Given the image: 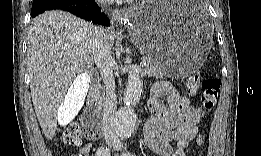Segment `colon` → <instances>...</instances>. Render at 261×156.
Wrapping results in <instances>:
<instances>
[{
    "label": "colon",
    "mask_w": 261,
    "mask_h": 156,
    "mask_svg": "<svg viewBox=\"0 0 261 156\" xmlns=\"http://www.w3.org/2000/svg\"><path fill=\"white\" fill-rule=\"evenodd\" d=\"M220 86L221 81L218 77H208L201 81L198 72L192 73L187 80V90L190 94H195L201 88V102L206 110H212L215 107ZM85 134L89 138L96 139L100 137L101 130L98 125L92 124L85 128ZM82 137L81 127L77 123H72L64 130L62 141L65 145L80 147L82 145ZM203 143L204 136L199 134L196 137V144L201 146Z\"/></svg>",
    "instance_id": "colon-1"
}]
</instances>
